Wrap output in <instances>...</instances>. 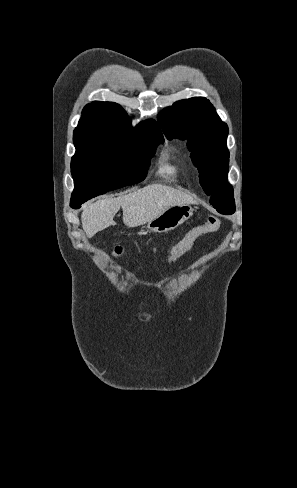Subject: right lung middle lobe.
Returning <instances> with one entry per match:
<instances>
[{"instance_id":"obj_1","label":"right lung middle lobe","mask_w":297,"mask_h":488,"mask_svg":"<svg viewBox=\"0 0 297 488\" xmlns=\"http://www.w3.org/2000/svg\"><path fill=\"white\" fill-rule=\"evenodd\" d=\"M163 141L161 136L144 130L131 137L75 146L71 160L75 188L70 206L78 209L95 196L143 181L150 159Z\"/></svg>"}]
</instances>
